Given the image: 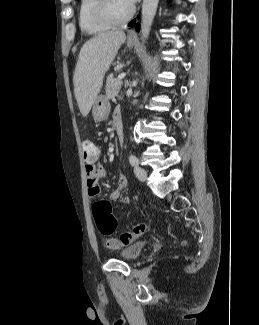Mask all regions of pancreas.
<instances>
[{"label":"pancreas","instance_id":"obj_1","mask_svg":"<svg viewBox=\"0 0 259 325\" xmlns=\"http://www.w3.org/2000/svg\"><path fill=\"white\" fill-rule=\"evenodd\" d=\"M122 82L113 77V74H110L106 80V96L108 99L116 97L120 91Z\"/></svg>","mask_w":259,"mask_h":325}]
</instances>
